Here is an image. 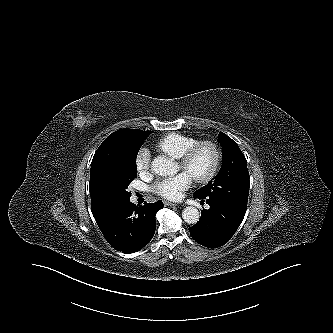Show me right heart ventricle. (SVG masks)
I'll return each mask as SVG.
<instances>
[{"label": "right heart ventricle", "mask_w": 333, "mask_h": 333, "mask_svg": "<svg viewBox=\"0 0 333 333\" xmlns=\"http://www.w3.org/2000/svg\"><path fill=\"white\" fill-rule=\"evenodd\" d=\"M197 142L198 140L191 136L169 133L156 143V148L174 159H179Z\"/></svg>", "instance_id": "1"}]
</instances>
